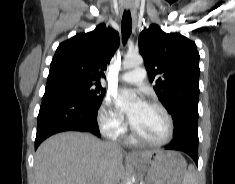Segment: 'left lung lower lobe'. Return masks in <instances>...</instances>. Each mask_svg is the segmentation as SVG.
Instances as JSON below:
<instances>
[{
	"mask_svg": "<svg viewBox=\"0 0 235 184\" xmlns=\"http://www.w3.org/2000/svg\"><path fill=\"white\" fill-rule=\"evenodd\" d=\"M198 143V137L186 133L174 137L172 142L165 148L187 153L198 165Z\"/></svg>",
	"mask_w": 235,
	"mask_h": 184,
	"instance_id": "left-lung-lower-lobe-1",
	"label": "left lung lower lobe"
}]
</instances>
